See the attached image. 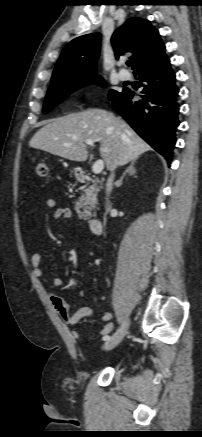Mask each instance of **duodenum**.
Instances as JSON below:
<instances>
[{"label":"duodenum","mask_w":202,"mask_h":437,"mask_svg":"<svg viewBox=\"0 0 202 437\" xmlns=\"http://www.w3.org/2000/svg\"><path fill=\"white\" fill-rule=\"evenodd\" d=\"M77 180L80 182H85L87 181V175L85 174L84 171H78L76 174ZM88 226L90 231L95 234L98 235L102 232V222L99 218L97 217H92L89 219L88 221Z\"/></svg>","instance_id":"410a0bca"}]
</instances>
